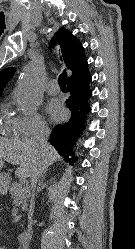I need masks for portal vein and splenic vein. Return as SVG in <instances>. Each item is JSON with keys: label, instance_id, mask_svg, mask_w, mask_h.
Here are the masks:
<instances>
[{"label": "portal vein and splenic vein", "instance_id": "1", "mask_svg": "<svg viewBox=\"0 0 135 249\" xmlns=\"http://www.w3.org/2000/svg\"><path fill=\"white\" fill-rule=\"evenodd\" d=\"M24 190H25V191H29L28 187H26Z\"/></svg>", "mask_w": 135, "mask_h": 249}]
</instances>
